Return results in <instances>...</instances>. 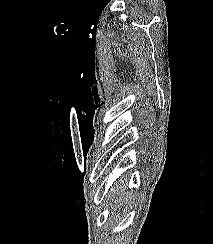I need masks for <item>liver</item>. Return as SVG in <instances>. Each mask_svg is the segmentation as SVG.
<instances>
[{"label": "liver", "instance_id": "obj_1", "mask_svg": "<svg viewBox=\"0 0 213 244\" xmlns=\"http://www.w3.org/2000/svg\"><path fill=\"white\" fill-rule=\"evenodd\" d=\"M129 195L130 193L125 192L124 189H121V191L117 193L118 197L115 200V207H121L128 200Z\"/></svg>", "mask_w": 213, "mask_h": 244}]
</instances>
